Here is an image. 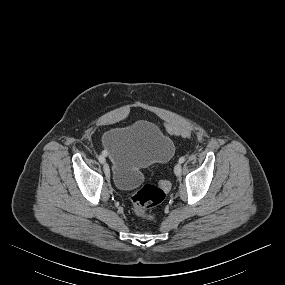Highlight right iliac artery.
<instances>
[{
  "instance_id": "obj_1",
  "label": "right iliac artery",
  "mask_w": 285,
  "mask_h": 285,
  "mask_svg": "<svg viewBox=\"0 0 285 285\" xmlns=\"http://www.w3.org/2000/svg\"><path fill=\"white\" fill-rule=\"evenodd\" d=\"M98 160L100 163H104L105 162V157H104V153H102L99 157H98Z\"/></svg>"
}]
</instances>
